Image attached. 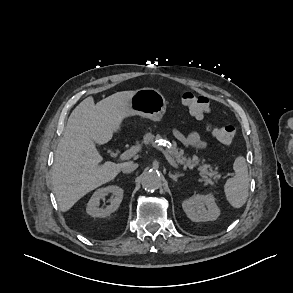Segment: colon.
<instances>
[{
	"mask_svg": "<svg viewBox=\"0 0 293 293\" xmlns=\"http://www.w3.org/2000/svg\"><path fill=\"white\" fill-rule=\"evenodd\" d=\"M182 104L191 115L199 120H203L211 111L210 103L206 97L191 92L183 94ZM212 132L216 139L223 144L231 143L236 137V129L232 125L215 128Z\"/></svg>",
	"mask_w": 293,
	"mask_h": 293,
	"instance_id": "colon-1",
	"label": "colon"
}]
</instances>
